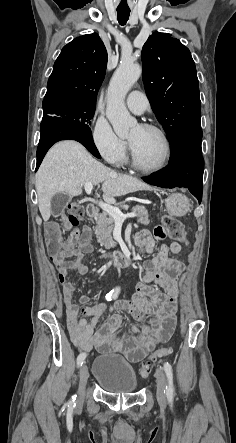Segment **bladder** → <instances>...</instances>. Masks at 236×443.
I'll list each match as a JSON object with an SVG mask.
<instances>
[{"mask_svg":"<svg viewBox=\"0 0 236 443\" xmlns=\"http://www.w3.org/2000/svg\"><path fill=\"white\" fill-rule=\"evenodd\" d=\"M93 374L100 387L109 393L131 394L138 386L134 369L122 358L102 355L95 361Z\"/></svg>","mask_w":236,"mask_h":443,"instance_id":"bladder-1","label":"bladder"}]
</instances>
